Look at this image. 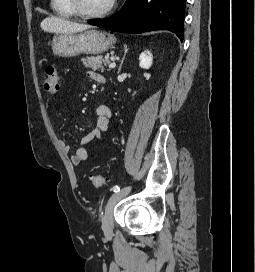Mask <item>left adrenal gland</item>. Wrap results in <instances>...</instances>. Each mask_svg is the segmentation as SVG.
<instances>
[{
  "instance_id": "1",
  "label": "left adrenal gland",
  "mask_w": 255,
  "mask_h": 272,
  "mask_svg": "<svg viewBox=\"0 0 255 272\" xmlns=\"http://www.w3.org/2000/svg\"><path fill=\"white\" fill-rule=\"evenodd\" d=\"M127 52H128V47H127V45H124V56H123V58H122V60H121V63H120V66H119V69H118V72H117L118 74H119L120 71H121L122 64H123V61H124V59H125V56H126Z\"/></svg>"
}]
</instances>
